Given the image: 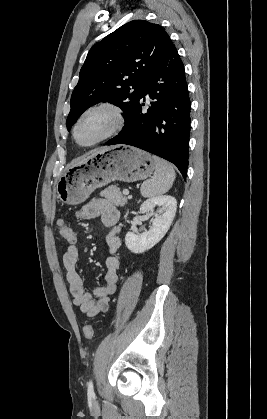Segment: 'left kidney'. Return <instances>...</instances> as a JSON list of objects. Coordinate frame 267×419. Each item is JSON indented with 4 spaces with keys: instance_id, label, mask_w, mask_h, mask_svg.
Returning a JSON list of instances; mask_svg holds the SVG:
<instances>
[{
    "instance_id": "5707ae66",
    "label": "left kidney",
    "mask_w": 267,
    "mask_h": 419,
    "mask_svg": "<svg viewBox=\"0 0 267 419\" xmlns=\"http://www.w3.org/2000/svg\"><path fill=\"white\" fill-rule=\"evenodd\" d=\"M156 206L161 210L152 219L151 228L137 234L128 232L125 236L126 247L133 253H143L155 246L168 232L177 210V201L169 195L157 196L144 201L140 206L142 214L148 213Z\"/></svg>"
}]
</instances>
